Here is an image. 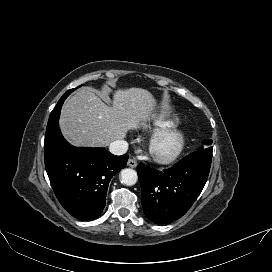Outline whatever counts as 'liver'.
I'll list each match as a JSON object with an SVG mask.
<instances>
[{"mask_svg":"<svg viewBox=\"0 0 272 272\" xmlns=\"http://www.w3.org/2000/svg\"><path fill=\"white\" fill-rule=\"evenodd\" d=\"M155 106L154 96L142 88L116 90L111 106L83 88L64 103L59 124L72 145L100 147L125 138L129 130L148 121Z\"/></svg>","mask_w":272,"mask_h":272,"instance_id":"liver-1","label":"liver"}]
</instances>
